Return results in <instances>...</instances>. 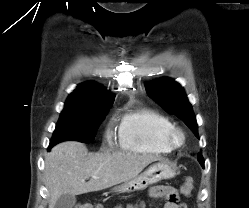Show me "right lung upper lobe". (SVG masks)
Masks as SVG:
<instances>
[{
  "mask_svg": "<svg viewBox=\"0 0 249 208\" xmlns=\"http://www.w3.org/2000/svg\"><path fill=\"white\" fill-rule=\"evenodd\" d=\"M114 95L93 81L78 85L68 97L65 107H91L108 109L114 102Z\"/></svg>",
  "mask_w": 249,
  "mask_h": 208,
  "instance_id": "obj_1",
  "label": "right lung upper lobe"
}]
</instances>
